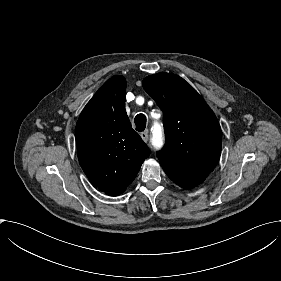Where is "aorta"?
<instances>
[{"label":"aorta","instance_id":"aorta-1","mask_svg":"<svg viewBox=\"0 0 281 281\" xmlns=\"http://www.w3.org/2000/svg\"><path fill=\"white\" fill-rule=\"evenodd\" d=\"M153 137H152V145L155 147V148H159L162 146L163 144V134H162V131H161V127L156 125L154 126L153 128Z\"/></svg>","mask_w":281,"mask_h":281}]
</instances>
